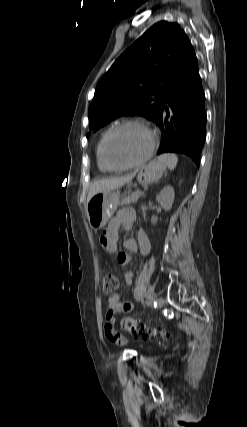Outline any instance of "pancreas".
I'll return each mask as SVG.
<instances>
[{"instance_id": "1", "label": "pancreas", "mask_w": 247, "mask_h": 427, "mask_svg": "<svg viewBox=\"0 0 247 427\" xmlns=\"http://www.w3.org/2000/svg\"><path fill=\"white\" fill-rule=\"evenodd\" d=\"M141 195L142 194H140L139 191H135V192L131 193L130 195H128L127 197H125L124 199H122L121 205L136 203Z\"/></svg>"}]
</instances>
